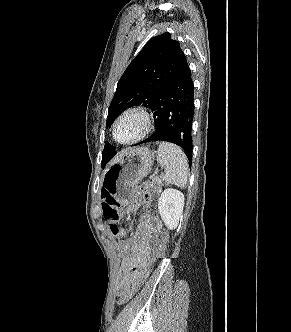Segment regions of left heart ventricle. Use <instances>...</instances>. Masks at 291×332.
<instances>
[{"label": "left heart ventricle", "instance_id": "b2bd125f", "mask_svg": "<svg viewBox=\"0 0 291 332\" xmlns=\"http://www.w3.org/2000/svg\"><path fill=\"white\" fill-rule=\"evenodd\" d=\"M142 129V118L138 115L131 114L121 120L117 127L116 135L120 141H129L138 136Z\"/></svg>", "mask_w": 291, "mask_h": 332}]
</instances>
